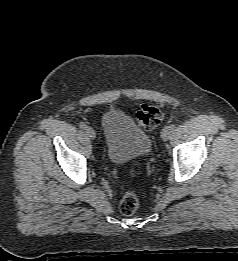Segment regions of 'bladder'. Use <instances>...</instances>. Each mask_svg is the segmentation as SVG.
Segmentation results:
<instances>
[{
    "label": "bladder",
    "mask_w": 238,
    "mask_h": 261,
    "mask_svg": "<svg viewBox=\"0 0 238 261\" xmlns=\"http://www.w3.org/2000/svg\"><path fill=\"white\" fill-rule=\"evenodd\" d=\"M108 159L125 164L147 156L152 148L149 135L124 112L111 109L101 119Z\"/></svg>",
    "instance_id": "1"
}]
</instances>
